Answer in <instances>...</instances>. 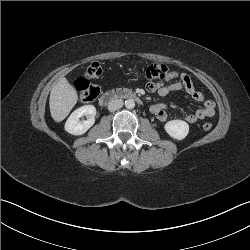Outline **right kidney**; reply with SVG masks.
Segmentation results:
<instances>
[{"instance_id": "right-kidney-1", "label": "right kidney", "mask_w": 250, "mask_h": 250, "mask_svg": "<svg viewBox=\"0 0 250 250\" xmlns=\"http://www.w3.org/2000/svg\"><path fill=\"white\" fill-rule=\"evenodd\" d=\"M88 116L86 121L80 122L79 118ZM96 108L93 105H85L71 113L65 123V130L72 135L84 134L95 122Z\"/></svg>"}]
</instances>
